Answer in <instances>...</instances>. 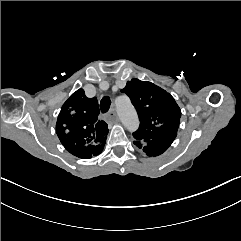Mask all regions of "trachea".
<instances>
[{
  "mask_svg": "<svg viewBox=\"0 0 241 241\" xmlns=\"http://www.w3.org/2000/svg\"><path fill=\"white\" fill-rule=\"evenodd\" d=\"M111 105V99L109 96H105L101 99L100 109L102 112H107Z\"/></svg>",
  "mask_w": 241,
  "mask_h": 241,
  "instance_id": "trachea-1",
  "label": "trachea"
}]
</instances>
